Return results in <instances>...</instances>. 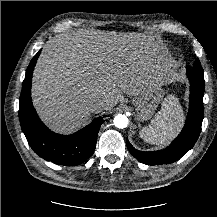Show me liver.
I'll return each instance as SVG.
<instances>
[{
	"label": "liver",
	"instance_id": "1",
	"mask_svg": "<svg viewBox=\"0 0 217 217\" xmlns=\"http://www.w3.org/2000/svg\"><path fill=\"white\" fill-rule=\"evenodd\" d=\"M138 42L98 32L60 34L46 42L37 61L33 103L52 129L66 133L91 117L89 104L106 100L104 110L158 86L141 56ZM161 60L156 71L166 70ZM151 71V72H150Z\"/></svg>",
	"mask_w": 217,
	"mask_h": 217
}]
</instances>
